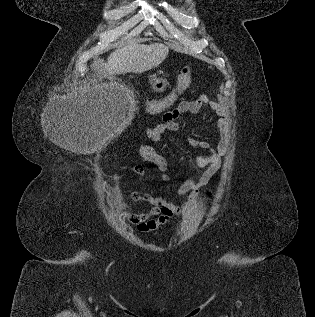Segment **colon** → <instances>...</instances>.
<instances>
[{"mask_svg":"<svg viewBox=\"0 0 315 317\" xmlns=\"http://www.w3.org/2000/svg\"><path fill=\"white\" fill-rule=\"evenodd\" d=\"M192 77H193L192 69L189 67L185 68L178 78L175 91L172 94H170L168 97H166L165 99L159 101L154 106L150 107L149 111L151 113H156L168 107L174 101L176 95L190 84V82L192 81Z\"/></svg>","mask_w":315,"mask_h":317,"instance_id":"5ec220e1","label":"colon"}]
</instances>
